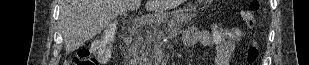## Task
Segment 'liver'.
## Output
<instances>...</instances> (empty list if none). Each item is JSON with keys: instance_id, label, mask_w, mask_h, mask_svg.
I'll return each instance as SVG.
<instances>
[{"instance_id": "1", "label": "liver", "mask_w": 309, "mask_h": 65, "mask_svg": "<svg viewBox=\"0 0 309 65\" xmlns=\"http://www.w3.org/2000/svg\"><path fill=\"white\" fill-rule=\"evenodd\" d=\"M183 0H147L145 8L163 13L175 8ZM141 0H61L60 29L68 53L79 49L99 34L117 15L135 11Z\"/></svg>"}]
</instances>
